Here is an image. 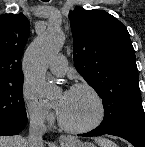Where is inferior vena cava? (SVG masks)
Segmentation results:
<instances>
[{
	"label": "inferior vena cava",
	"instance_id": "1",
	"mask_svg": "<svg viewBox=\"0 0 145 147\" xmlns=\"http://www.w3.org/2000/svg\"><path fill=\"white\" fill-rule=\"evenodd\" d=\"M46 132L44 118L40 114H34L30 118L29 136L26 147H43V136Z\"/></svg>",
	"mask_w": 145,
	"mask_h": 147
}]
</instances>
